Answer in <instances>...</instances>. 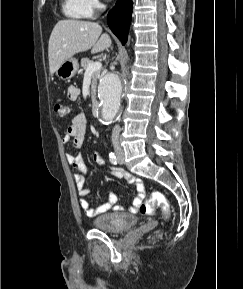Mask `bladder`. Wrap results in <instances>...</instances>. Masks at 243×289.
Segmentation results:
<instances>
[{
	"label": "bladder",
	"mask_w": 243,
	"mask_h": 289,
	"mask_svg": "<svg viewBox=\"0 0 243 289\" xmlns=\"http://www.w3.org/2000/svg\"><path fill=\"white\" fill-rule=\"evenodd\" d=\"M138 219L135 215L123 212H108L98 215L93 220L95 228L111 233H120L136 226Z\"/></svg>",
	"instance_id": "31cf9c89"
}]
</instances>
